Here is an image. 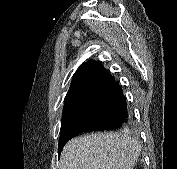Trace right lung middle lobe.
I'll use <instances>...</instances> for the list:
<instances>
[{
    "mask_svg": "<svg viewBox=\"0 0 177 169\" xmlns=\"http://www.w3.org/2000/svg\"><path fill=\"white\" fill-rule=\"evenodd\" d=\"M89 95L86 90L71 97L65 98L62 123L75 117L88 103Z\"/></svg>",
    "mask_w": 177,
    "mask_h": 169,
    "instance_id": "obj_1",
    "label": "right lung middle lobe"
}]
</instances>
